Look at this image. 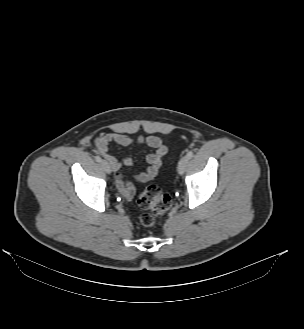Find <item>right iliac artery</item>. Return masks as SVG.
I'll use <instances>...</instances> for the list:
<instances>
[{
	"mask_svg": "<svg viewBox=\"0 0 304 329\" xmlns=\"http://www.w3.org/2000/svg\"><path fill=\"white\" fill-rule=\"evenodd\" d=\"M95 160H96L97 162H101V157H100V156H95Z\"/></svg>",
	"mask_w": 304,
	"mask_h": 329,
	"instance_id": "obj_1",
	"label": "right iliac artery"
}]
</instances>
